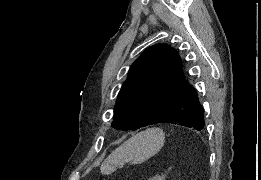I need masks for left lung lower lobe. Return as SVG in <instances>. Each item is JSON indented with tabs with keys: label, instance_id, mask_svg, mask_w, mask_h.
Listing matches in <instances>:
<instances>
[{
	"label": "left lung lower lobe",
	"instance_id": "0a47b994",
	"mask_svg": "<svg viewBox=\"0 0 261 180\" xmlns=\"http://www.w3.org/2000/svg\"><path fill=\"white\" fill-rule=\"evenodd\" d=\"M170 123L194 128H204V110L196 90L188 83L177 94L174 100L154 119L152 124Z\"/></svg>",
	"mask_w": 261,
	"mask_h": 180
}]
</instances>
